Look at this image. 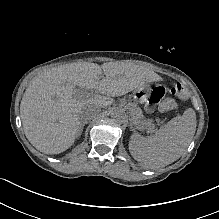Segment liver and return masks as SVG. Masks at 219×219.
I'll return each mask as SVG.
<instances>
[{
	"label": "liver",
	"instance_id": "1",
	"mask_svg": "<svg viewBox=\"0 0 219 219\" xmlns=\"http://www.w3.org/2000/svg\"><path fill=\"white\" fill-rule=\"evenodd\" d=\"M149 81L147 69L130 63H71L44 70L21 100L26 138L45 154L64 152L78 137L82 118L96 117L101 108L111 105L110 97L122 96ZM75 86L83 89V98L74 96ZM94 89L100 94L86 95Z\"/></svg>",
	"mask_w": 219,
	"mask_h": 219
}]
</instances>
